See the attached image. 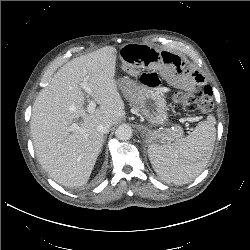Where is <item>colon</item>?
Listing matches in <instances>:
<instances>
[{"label":"colon","instance_id":"5ec220e1","mask_svg":"<svg viewBox=\"0 0 250 250\" xmlns=\"http://www.w3.org/2000/svg\"><path fill=\"white\" fill-rule=\"evenodd\" d=\"M172 100L184 109H198L204 113L209 112L213 107L212 89L207 85L193 91H177L173 93Z\"/></svg>","mask_w":250,"mask_h":250}]
</instances>
